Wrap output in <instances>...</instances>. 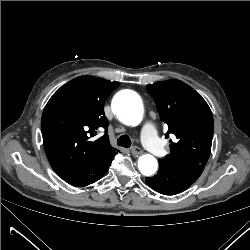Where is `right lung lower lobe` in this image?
Wrapping results in <instances>:
<instances>
[{"label": "right lung lower lobe", "instance_id": "1", "mask_svg": "<svg viewBox=\"0 0 250 250\" xmlns=\"http://www.w3.org/2000/svg\"><path fill=\"white\" fill-rule=\"evenodd\" d=\"M116 152H110L92 165L77 171L57 173L67 183L83 187L92 184L102 178L108 171Z\"/></svg>", "mask_w": 250, "mask_h": 250}]
</instances>
